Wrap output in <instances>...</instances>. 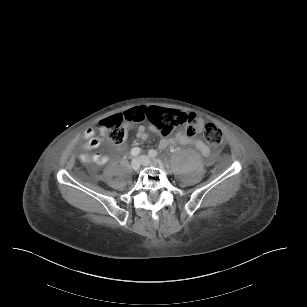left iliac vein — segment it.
<instances>
[{"mask_svg": "<svg viewBox=\"0 0 307 307\" xmlns=\"http://www.w3.org/2000/svg\"><path fill=\"white\" fill-rule=\"evenodd\" d=\"M139 160L141 162V164L143 166H149V165H152V166H157V165H160V162L158 160H153L151 158H149L148 156H145V155H142L139 157Z\"/></svg>", "mask_w": 307, "mask_h": 307, "instance_id": "obj_1", "label": "left iliac vein"}]
</instances>
